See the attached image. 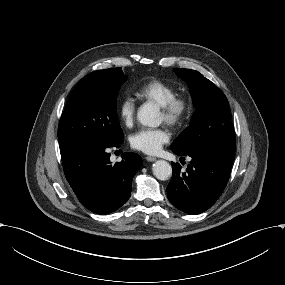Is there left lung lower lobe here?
<instances>
[{
  "label": "left lung lower lobe",
  "mask_w": 285,
  "mask_h": 285,
  "mask_svg": "<svg viewBox=\"0 0 285 285\" xmlns=\"http://www.w3.org/2000/svg\"><path fill=\"white\" fill-rule=\"evenodd\" d=\"M234 151V142H218L195 149L187 154L192 160L184 173L178 163L172 162L173 175L167 186L169 201L193 215L210 208L228 182Z\"/></svg>",
  "instance_id": "obj_1"
}]
</instances>
